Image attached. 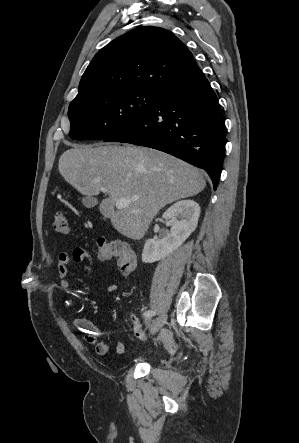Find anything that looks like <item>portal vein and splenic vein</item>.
I'll use <instances>...</instances> for the list:
<instances>
[{"label": "portal vein and splenic vein", "mask_w": 299, "mask_h": 443, "mask_svg": "<svg viewBox=\"0 0 299 443\" xmlns=\"http://www.w3.org/2000/svg\"><path fill=\"white\" fill-rule=\"evenodd\" d=\"M101 192L106 193L107 189L105 188H101L100 189ZM131 199H126V198H120L116 201L115 205L118 209H122V208H126L129 206V204L131 203Z\"/></svg>", "instance_id": "18ae733b"}]
</instances>
